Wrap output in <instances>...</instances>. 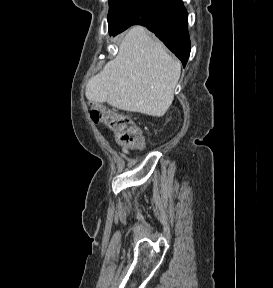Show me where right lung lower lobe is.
Returning a JSON list of instances; mask_svg holds the SVG:
<instances>
[{
  "mask_svg": "<svg viewBox=\"0 0 273 288\" xmlns=\"http://www.w3.org/2000/svg\"><path fill=\"white\" fill-rule=\"evenodd\" d=\"M142 25L186 65L190 55L188 14L182 0H137L109 32L116 35L132 25Z\"/></svg>",
  "mask_w": 273,
  "mask_h": 288,
  "instance_id": "98d812e1",
  "label": "right lung lower lobe"
}]
</instances>
